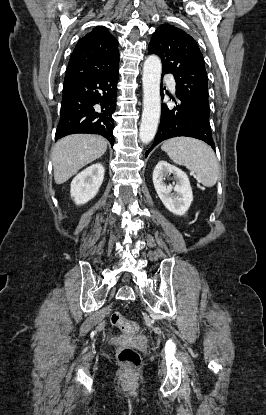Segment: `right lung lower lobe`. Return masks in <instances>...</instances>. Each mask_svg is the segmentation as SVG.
<instances>
[{
    "label": "right lung lower lobe",
    "instance_id": "obj_1",
    "mask_svg": "<svg viewBox=\"0 0 266 415\" xmlns=\"http://www.w3.org/2000/svg\"><path fill=\"white\" fill-rule=\"evenodd\" d=\"M118 70L63 86L56 141L69 134L89 133L102 135L114 145Z\"/></svg>",
    "mask_w": 266,
    "mask_h": 415
}]
</instances>
